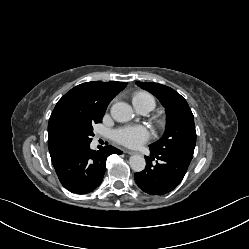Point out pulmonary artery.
<instances>
[{"instance_id":"1","label":"pulmonary artery","mask_w":249,"mask_h":249,"mask_svg":"<svg viewBox=\"0 0 249 249\" xmlns=\"http://www.w3.org/2000/svg\"><path fill=\"white\" fill-rule=\"evenodd\" d=\"M140 113L147 114L153 109V106L151 104H147L141 107L136 108Z\"/></svg>"}]
</instances>
